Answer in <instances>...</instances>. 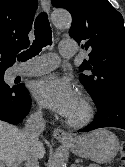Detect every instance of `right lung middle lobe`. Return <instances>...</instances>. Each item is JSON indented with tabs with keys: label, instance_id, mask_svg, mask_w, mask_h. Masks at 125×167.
Masks as SVG:
<instances>
[{
	"label": "right lung middle lobe",
	"instance_id": "1",
	"mask_svg": "<svg viewBox=\"0 0 125 167\" xmlns=\"http://www.w3.org/2000/svg\"><path fill=\"white\" fill-rule=\"evenodd\" d=\"M3 76H4V72H0V85L5 86V87H9V86L4 82Z\"/></svg>",
	"mask_w": 125,
	"mask_h": 167
}]
</instances>
